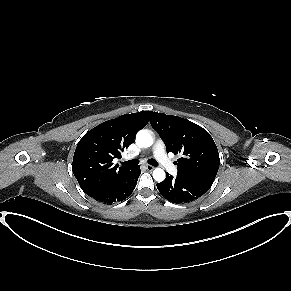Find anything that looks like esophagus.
<instances>
[{
    "instance_id": "esophagus-1",
    "label": "esophagus",
    "mask_w": 291,
    "mask_h": 291,
    "mask_svg": "<svg viewBox=\"0 0 291 291\" xmlns=\"http://www.w3.org/2000/svg\"><path fill=\"white\" fill-rule=\"evenodd\" d=\"M145 169L152 171L154 167L152 165H145Z\"/></svg>"
}]
</instances>
